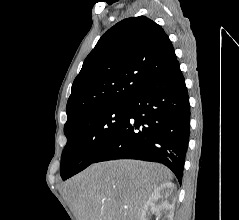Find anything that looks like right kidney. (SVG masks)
<instances>
[{
	"instance_id": "ca27d5eb",
	"label": "right kidney",
	"mask_w": 239,
	"mask_h": 220,
	"mask_svg": "<svg viewBox=\"0 0 239 220\" xmlns=\"http://www.w3.org/2000/svg\"><path fill=\"white\" fill-rule=\"evenodd\" d=\"M176 186L165 182L156 187L143 207L140 220H150L153 214L156 220H173L176 202Z\"/></svg>"
}]
</instances>
